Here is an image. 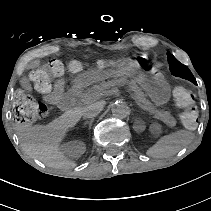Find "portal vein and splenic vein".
<instances>
[{
    "mask_svg": "<svg viewBox=\"0 0 211 211\" xmlns=\"http://www.w3.org/2000/svg\"><path fill=\"white\" fill-rule=\"evenodd\" d=\"M122 89L125 90V91L127 90L125 87H123ZM126 92L130 95V97L134 101L135 99L133 97V94L130 91H128V90ZM134 102H135V105L138 106V107H140L144 112H148V109L147 108H144L141 104H138L136 100Z\"/></svg>",
    "mask_w": 211,
    "mask_h": 211,
    "instance_id": "portal-vein-and-splenic-vein-1",
    "label": "portal vein and splenic vein"
}]
</instances>
